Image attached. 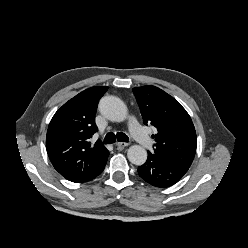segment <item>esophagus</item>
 I'll list each match as a JSON object with an SVG mask.
<instances>
[{
    "mask_svg": "<svg viewBox=\"0 0 248 248\" xmlns=\"http://www.w3.org/2000/svg\"><path fill=\"white\" fill-rule=\"evenodd\" d=\"M128 145H129V144L126 143V142H117V143H116L117 149H119V150L124 149V148L127 147Z\"/></svg>",
    "mask_w": 248,
    "mask_h": 248,
    "instance_id": "esophagus-1",
    "label": "esophagus"
}]
</instances>
